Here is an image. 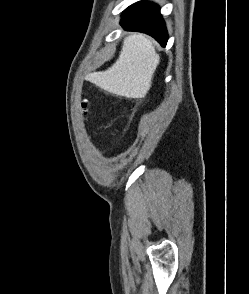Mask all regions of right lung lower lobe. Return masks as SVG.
I'll return each instance as SVG.
<instances>
[{"label": "right lung lower lobe", "mask_w": 249, "mask_h": 294, "mask_svg": "<svg viewBox=\"0 0 249 294\" xmlns=\"http://www.w3.org/2000/svg\"><path fill=\"white\" fill-rule=\"evenodd\" d=\"M121 25L126 30L147 33L166 46L168 35L156 4L138 2L131 5L122 15Z\"/></svg>", "instance_id": "98d812e1"}]
</instances>
